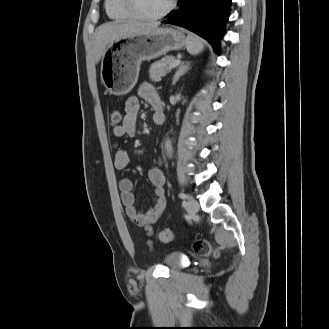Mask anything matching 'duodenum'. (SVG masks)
Listing matches in <instances>:
<instances>
[{"label":"duodenum","instance_id":"1","mask_svg":"<svg viewBox=\"0 0 329 329\" xmlns=\"http://www.w3.org/2000/svg\"><path fill=\"white\" fill-rule=\"evenodd\" d=\"M164 120H165V114L163 110L158 109L154 115V123L160 125L164 122Z\"/></svg>","mask_w":329,"mask_h":329}]
</instances>
